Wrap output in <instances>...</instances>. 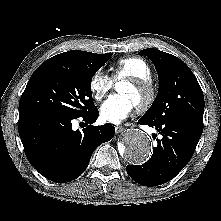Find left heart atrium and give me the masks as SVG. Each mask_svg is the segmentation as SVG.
I'll return each mask as SVG.
<instances>
[{
    "instance_id": "obj_1",
    "label": "left heart atrium",
    "mask_w": 221,
    "mask_h": 221,
    "mask_svg": "<svg viewBox=\"0 0 221 221\" xmlns=\"http://www.w3.org/2000/svg\"><path fill=\"white\" fill-rule=\"evenodd\" d=\"M136 105L125 94H113L100 107V117L106 122L120 123L133 112Z\"/></svg>"
}]
</instances>
